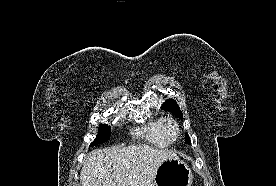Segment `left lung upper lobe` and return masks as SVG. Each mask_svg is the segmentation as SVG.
I'll use <instances>...</instances> for the list:
<instances>
[{"instance_id":"left-lung-upper-lobe-1","label":"left lung upper lobe","mask_w":276,"mask_h":186,"mask_svg":"<svg viewBox=\"0 0 276 186\" xmlns=\"http://www.w3.org/2000/svg\"><path fill=\"white\" fill-rule=\"evenodd\" d=\"M163 109H166L170 112H172L174 115H176L179 118H182V112L177 104V102L174 99H168L167 101H165L162 105ZM186 143L187 144H191L189 135H186Z\"/></svg>"}]
</instances>
